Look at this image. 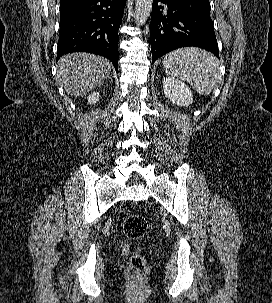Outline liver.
Returning <instances> with one entry per match:
<instances>
[{
    "label": "liver",
    "mask_w": 272,
    "mask_h": 303,
    "mask_svg": "<svg viewBox=\"0 0 272 303\" xmlns=\"http://www.w3.org/2000/svg\"><path fill=\"white\" fill-rule=\"evenodd\" d=\"M110 61L90 53H72L62 56L57 63V79L70 96H83L107 79Z\"/></svg>",
    "instance_id": "1"
}]
</instances>
